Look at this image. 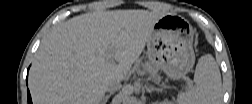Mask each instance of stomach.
Instances as JSON below:
<instances>
[{
	"instance_id": "obj_1",
	"label": "stomach",
	"mask_w": 252,
	"mask_h": 104,
	"mask_svg": "<svg viewBox=\"0 0 252 104\" xmlns=\"http://www.w3.org/2000/svg\"><path fill=\"white\" fill-rule=\"evenodd\" d=\"M194 31L181 17L165 15L153 26L147 41L149 62L173 80H179L193 67Z\"/></svg>"
}]
</instances>
